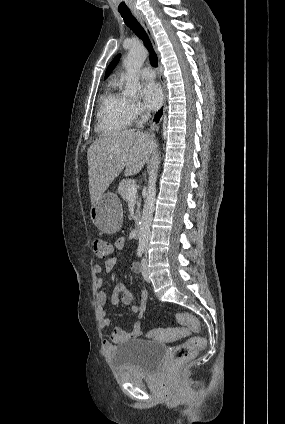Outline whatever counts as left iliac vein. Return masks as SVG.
<instances>
[{
  "label": "left iliac vein",
  "instance_id": "1",
  "mask_svg": "<svg viewBox=\"0 0 285 424\" xmlns=\"http://www.w3.org/2000/svg\"><path fill=\"white\" fill-rule=\"evenodd\" d=\"M147 265H148V261H147V255H146L141 262V269H142V275L144 279L146 280V282L150 283L151 280L148 276Z\"/></svg>",
  "mask_w": 285,
  "mask_h": 424
}]
</instances>
